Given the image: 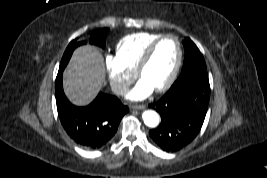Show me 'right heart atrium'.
<instances>
[{"label": "right heart atrium", "instance_id": "right-heart-atrium-1", "mask_svg": "<svg viewBox=\"0 0 267 178\" xmlns=\"http://www.w3.org/2000/svg\"><path fill=\"white\" fill-rule=\"evenodd\" d=\"M105 69L109 78L111 89L117 95L126 92L135 78V73L126 69L117 57L107 55L104 59Z\"/></svg>", "mask_w": 267, "mask_h": 178}]
</instances>
